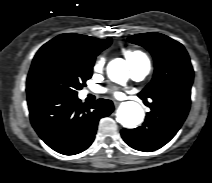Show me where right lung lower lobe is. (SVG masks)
Segmentation results:
<instances>
[{"mask_svg":"<svg viewBox=\"0 0 212 183\" xmlns=\"http://www.w3.org/2000/svg\"><path fill=\"white\" fill-rule=\"evenodd\" d=\"M28 107L32 126L53 150L74 155L93 142L101 118L114 109L110 100L98 99L85 106L77 96L47 93L29 96Z\"/></svg>","mask_w":212,"mask_h":183,"instance_id":"98d812e1","label":"right lung lower lobe"}]
</instances>
